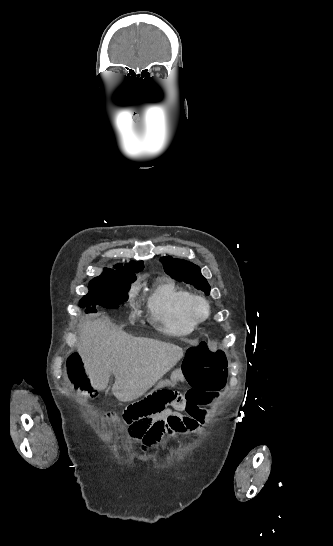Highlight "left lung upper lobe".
Segmentation results:
<instances>
[{"label": "left lung upper lobe", "instance_id": "1", "mask_svg": "<svg viewBox=\"0 0 333 546\" xmlns=\"http://www.w3.org/2000/svg\"><path fill=\"white\" fill-rule=\"evenodd\" d=\"M162 262L165 272L172 278L190 283L209 295L210 286L197 265L185 260L172 259L171 256L163 257Z\"/></svg>", "mask_w": 333, "mask_h": 546}]
</instances>
